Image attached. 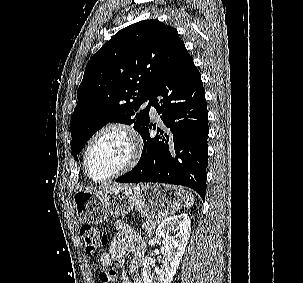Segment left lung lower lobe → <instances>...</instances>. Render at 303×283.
<instances>
[{
	"label": "left lung lower lobe",
	"instance_id": "obj_1",
	"mask_svg": "<svg viewBox=\"0 0 303 283\" xmlns=\"http://www.w3.org/2000/svg\"><path fill=\"white\" fill-rule=\"evenodd\" d=\"M164 123L150 137L146 125L141 133L143 153L138 164L116 181L159 182L183 185L204 200L206 192L207 105L201 75L186 50L163 78L149 102Z\"/></svg>",
	"mask_w": 303,
	"mask_h": 283
}]
</instances>
